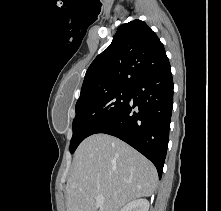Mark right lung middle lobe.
Wrapping results in <instances>:
<instances>
[{
  "instance_id": "1",
  "label": "right lung middle lobe",
  "mask_w": 221,
  "mask_h": 211,
  "mask_svg": "<svg viewBox=\"0 0 221 211\" xmlns=\"http://www.w3.org/2000/svg\"><path fill=\"white\" fill-rule=\"evenodd\" d=\"M130 93V88H121L78 99L72 124L73 136L69 148L71 154L86 137L97 133L118 114L129 101Z\"/></svg>"
}]
</instances>
